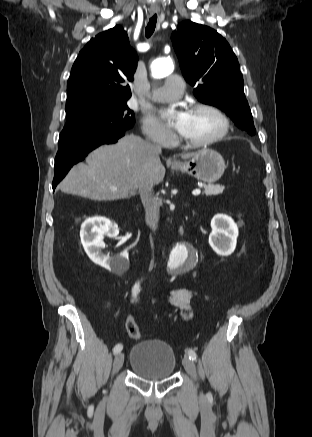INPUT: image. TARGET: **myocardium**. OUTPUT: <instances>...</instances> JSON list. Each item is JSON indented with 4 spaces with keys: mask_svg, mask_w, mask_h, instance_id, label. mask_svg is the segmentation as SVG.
Here are the masks:
<instances>
[{
    "mask_svg": "<svg viewBox=\"0 0 312 437\" xmlns=\"http://www.w3.org/2000/svg\"><path fill=\"white\" fill-rule=\"evenodd\" d=\"M199 111L209 112V113H212L215 116H217L221 122L220 130L216 134H214L213 136H211L207 139H204V140H200V141L187 140V139L183 138L182 136H180L179 142L181 144L191 146V147L209 146L211 144H214V143L220 141L228 134L230 127H231V122H230L228 115L222 109H220L219 107H217L215 105L206 104V103L195 104L190 109V112H199Z\"/></svg>",
    "mask_w": 312,
    "mask_h": 437,
    "instance_id": "1",
    "label": "myocardium"
}]
</instances>
